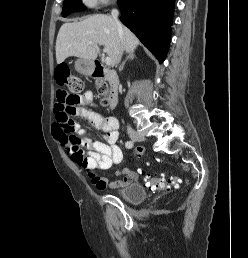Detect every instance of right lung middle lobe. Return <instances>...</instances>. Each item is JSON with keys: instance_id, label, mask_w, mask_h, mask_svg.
Listing matches in <instances>:
<instances>
[{"instance_id": "obj_1", "label": "right lung middle lobe", "mask_w": 248, "mask_h": 258, "mask_svg": "<svg viewBox=\"0 0 248 258\" xmlns=\"http://www.w3.org/2000/svg\"><path fill=\"white\" fill-rule=\"evenodd\" d=\"M83 8L81 0H64L62 16L66 17L72 12L82 11Z\"/></svg>"}]
</instances>
